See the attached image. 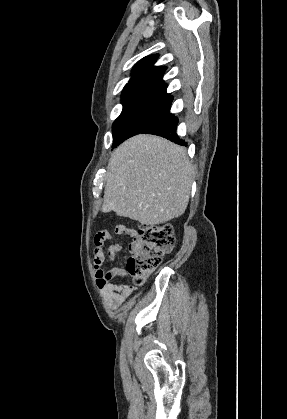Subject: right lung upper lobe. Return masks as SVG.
<instances>
[{
  "instance_id": "right-lung-upper-lobe-1",
  "label": "right lung upper lobe",
  "mask_w": 287,
  "mask_h": 419,
  "mask_svg": "<svg viewBox=\"0 0 287 419\" xmlns=\"http://www.w3.org/2000/svg\"><path fill=\"white\" fill-rule=\"evenodd\" d=\"M158 55L141 59L132 69V77L122 92L123 110L136 107L171 106L173 97L166 93L164 67L153 66Z\"/></svg>"
}]
</instances>
